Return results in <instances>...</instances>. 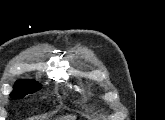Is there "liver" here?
<instances>
[{
	"label": "liver",
	"instance_id": "liver-1",
	"mask_svg": "<svg viewBox=\"0 0 165 120\" xmlns=\"http://www.w3.org/2000/svg\"><path fill=\"white\" fill-rule=\"evenodd\" d=\"M74 119H75V116H71V115L64 117V120H74Z\"/></svg>",
	"mask_w": 165,
	"mask_h": 120
}]
</instances>
